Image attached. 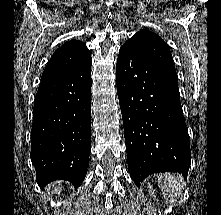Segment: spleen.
I'll return each mask as SVG.
<instances>
[{"label":"spleen","mask_w":221,"mask_h":215,"mask_svg":"<svg viewBox=\"0 0 221 215\" xmlns=\"http://www.w3.org/2000/svg\"><path fill=\"white\" fill-rule=\"evenodd\" d=\"M158 184L166 202L173 204L183 193L185 186L180 174L165 173L158 176Z\"/></svg>","instance_id":"3e777b00"}]
</instances>
